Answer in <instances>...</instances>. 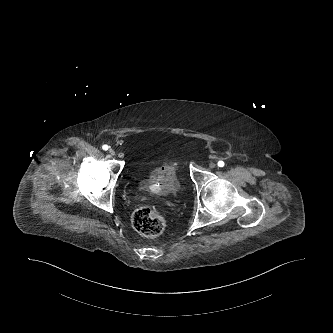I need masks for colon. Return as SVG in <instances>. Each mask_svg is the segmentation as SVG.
<instances>
[{
	"label": "colon",
	"instance_id": "5ec220e1",
	"mask_svg": "<svg viewBox=\"0 0 333 333\" xmlns=\"http://www.w3.org/2000/svg\"><path fill=\"white\" fill-rule=\"evenodd\" d=\"M132 224L137 232L146 237H156L166 227L164 217L148 207H141L133 213Z\"/></svg>",
	"mask_w": 333,
	"mask_h": 333
}]
</instances>
